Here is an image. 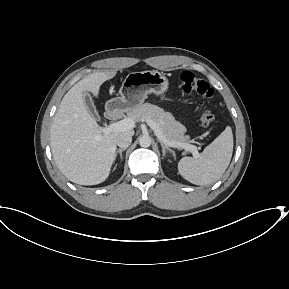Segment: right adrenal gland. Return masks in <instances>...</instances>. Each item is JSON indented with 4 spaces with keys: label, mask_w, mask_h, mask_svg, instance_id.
<instances>
[{
    "label": "right adrenal gland",
    "mask_w": 289,
    "mask_h": 289,
    "mask_svg": "<svg viewBox=\"0 0 289 289\" xmlns=\"http://www.w3.org/2000/svg\"><path fill=\"white\" fill-rule=\"evenodd\" d=\"M125 150H126V148L118 149V150L115 152V159H116V157L119 155L120 160L122 161V152L125 151Z\"/></svg>",
    "instance_id": "2a0ac1e0"
}]
</instances>
